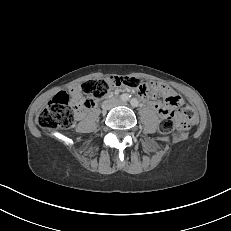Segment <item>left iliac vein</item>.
I'll use <instances>...</instances> for the list:
<instances>
[{
    "mask_svg": "<svg viewBox=\"0 0 231 231\" xmlns=\"http://www.w3.org/2000/svg\"><path fill=\"white\" fill-rule=\"evenodd\" d=\"M116 105H118V106H126L127 103L123 102V101H119V102L116 103Z\"/></svg>",
    "mask_w": 231,
    "mask_h": 231,
    "instance_id": "1",
    "label": "left iliac vein"
}]
</instances>
